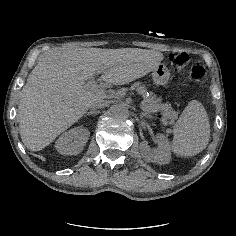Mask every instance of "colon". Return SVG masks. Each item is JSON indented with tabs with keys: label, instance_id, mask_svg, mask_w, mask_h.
<instances>
[{
	"label": "colon",
	"instance_id": "5ec220e1",
	"mask_svg": "<svg viewBox=\"0 0 236 236\" xmlns=\"http://www.w3.org/2000/svg\"><path fill=\"white\" fill-rule=\"evenodd\" d=\"M189 55L185 52H171L168 56L172 68L179 72L180 68L189 62ZM207 70L200 60H196L190 69V78L194 81H201L205 78Z\"/></svg>",
	"mask_w": 236,
	"mask_h": 236
}]
</instances>
